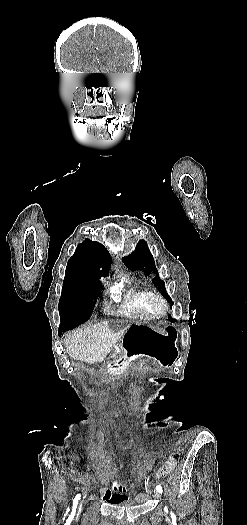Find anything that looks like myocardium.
I'll return each mask as SVG.
<instances>
[{
	"label": "myocardium",
	"mask_w": 247,
	"mask_h": 525,
	"mask_svg": "<svg viewBox=\"0 0 247 525\" xmlns=\"http://www.w3.org/2000/svg\"><path fill=\"white\" fill-rule=\"evenodd\" d=\"M144 295L147 299L148 311L152 316L159 317L167 312V300L159 291L145 290Z\"/></svg>",
	"instance_id": "f54148a6"
}]
</instances>
